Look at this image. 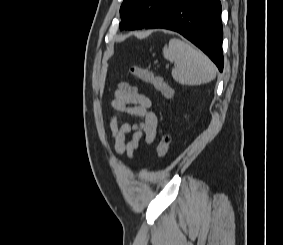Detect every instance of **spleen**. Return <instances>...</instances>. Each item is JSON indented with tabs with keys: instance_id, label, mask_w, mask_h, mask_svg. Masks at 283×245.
<instances>
[{
	"instance_id": "obj_1",
	"label": "spleen",
	"mask_w": 283,
	"mask_h": 245,
	"mask_svg": "<svg viewBox=\"0 0 283 245\" xmlns=\"http://www.w3.org/2000/svg\"><path fill=\"white\" fill-rule=\"evenodd\" d=\"M163 56L174 63L172 76L182 85H200L216 77V67L211 60L180 39H171L163 48Z\"/></svg>"
}]
</instances>
